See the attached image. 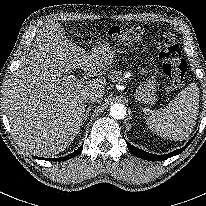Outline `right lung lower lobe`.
Instances as JSON below:
<instances>
[{
	"label": "right lung lower lobe",
	"mask_w": 206,
	"mask_h": 206,
	"mask_svg": "<svg viewBox=\"0 0 206 206\" xmlns=\"http://www.w3.org/2000/svg\"><path fill=\"white\" fill-rule=\"evenodd\" d=\"M82 148H83V145L80 148H78L75 152H73L65 157H62V158L49 159V158H41V157H36V156H34V158L42 159V160H49V161H65V160H68V159L76 156L77 154H79L81 152Z\"/></svg>",
	"instance_id": "right-lung-lower-lobe-1"
}]
</instances>
